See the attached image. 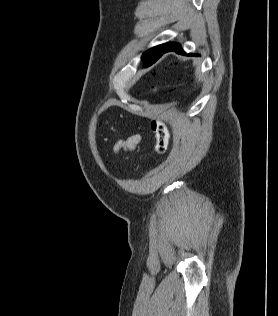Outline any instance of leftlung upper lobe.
<instances>
[{"label":"left lung upper lobe","mask_w":278,"mask_h":316,"mask_svg":"<svg viewBox=\"0 0 278 316\" xmlns=\"http://www.w3.org/2000/svg\"><path fill=\"white\" fill-rule=\"evenodd\" d=\"M169 43L161 44L155 47L150 48L142 55V60H144V66L148 67L155 63L161 56L164 49L168 46Z\"/></svg>","instance_id":"left-lung-upper-lobe-1"}]
</instances>
